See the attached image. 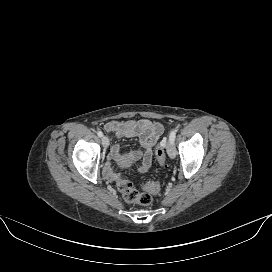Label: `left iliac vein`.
<instances>
[{"mask_svg":"<svg viewBox=\"0 0 272 272\" xmlns=\"http://www.w3.org/2000/svg\"><path fill=\"white\" fill-rule=\"evenodd\" d=\"M166 149H167V153L169 155L170 158H175L176 156V150L174 147V142L172 141H168L166 144Z\"/></svg>","mask_w":272,"mask_h":272,"instance_id":"left-iliac-vein-1","label":"left iliac vein"}]
</instances>
